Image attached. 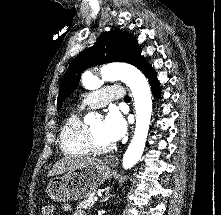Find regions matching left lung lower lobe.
Returning <instances> with one entry per match:
<instances>
[{"mask_svg":"<svg viewBox=\"0 0 221 215\" xmlns=\"http://www.w3.org/2000/svg\"><path fill=\"white\" fill-rule=\"evenodd\" d=\"M143 73L149 79L154 95L158 96L160 94V86H159V81L157 80L155 71L153 70V68H151V66H149L143 71Z\"/></svg>","mask_w":221,"mask_h":215,"instance_id":"obj_1","label":"left lung lower lobe"}]
</instances>
